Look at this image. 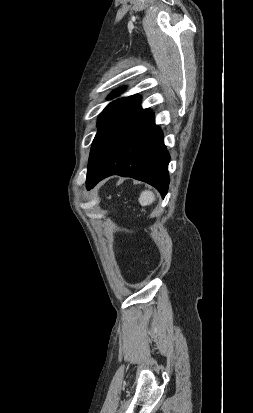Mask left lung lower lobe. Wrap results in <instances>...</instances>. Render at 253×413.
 Wrapping results in <instances>:
<instances>
[{
  "instance_id": "obj_1",
  "label": "left lung lower lobe",
  "mask_w": 253,
  "mask_h": 413,
  "mask_svg": "<svg viewBox=\"0 0 253 413\" xmlns=\"http://www.w3.org/2000/svg\"><path fill=\"white\" fill-rule=\"evenodd\" d=\"M170 156L163 133L150 115L123 141L100 170L87 178V189L111 175L133 177L157 188L164 197L168 190Z\"/></svg>"
}]
</instances>
